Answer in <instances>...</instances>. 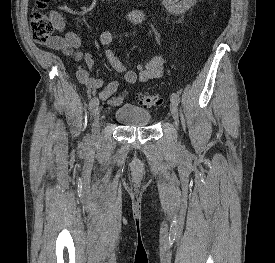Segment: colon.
<instances>
[{"label": "colon", "instance_id": "1", "mask_svg": "<svg viewBox=\"0 0 275 263\" xmlns=\"http://www.w3.org/2000/svg\"><path fill=\"white\" fill-rule=\"evenodd\" d=\"M50 0H34V9L30 16L31 31L35 41L47 43L54 37L55 25L51 18L44 14ZM136 101L144 107H158L162 99L158 94L140 93Z\"/></svg>", "mask_w": 275, "mask_h": 263}]
</instances>
